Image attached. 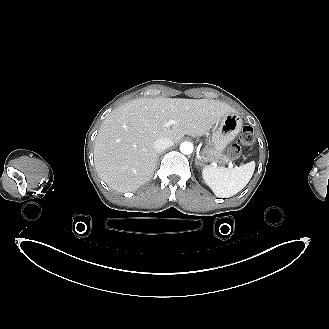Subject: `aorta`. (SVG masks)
Masks as SVG:
<instances>
[{
	"instance_id": "1",
	"label": "aorta",
	"mask_w": 329,
	"mask_h": 329,
	"mask_svg": "<svg viewBox=\"0 0 329 329\" xmlns=\"http://www.w3.org/2000/svg\"><path fill=\"white\" fill-rule=\"evenodd\" d=\"M193 148H194L193 144L188 141H184L180 145V151L186 155L191 154L193 152Z\"/></svg>"
}]
</instances>
